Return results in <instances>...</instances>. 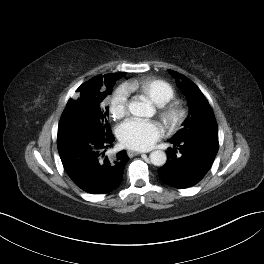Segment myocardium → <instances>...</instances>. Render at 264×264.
Instances as JSON below:
<instances>
[{"instance_id":"1","label":"myocardium","mask_w":264,"mask_h":264,"mask_svg":"<svg viewBox=\"0 0 264 264\" xmlns=\"http://www.w3.org/2000/svg\"><path fill=\"white\" fill-rule=\"evenodd\" d=\"M160 116L167 128L173 131L182 125L186 111L179 102H172L161 108Z\"/></svg>"}]
</instances>
